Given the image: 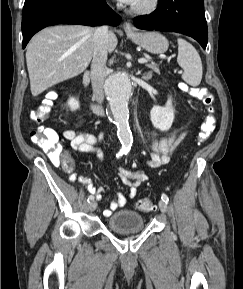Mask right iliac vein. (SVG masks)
Segmentation results:
<instances>
[{
	"instance_id": "obj_1",
	"label": "right iliac vein",
	"mask_w": 243,
	"mask_h": 289,
	"mask_svg": "<svg viewBox=\"0 0 243 289\" xmlns=\"http://www.w3.org/2000/svg\"><path fill=\"white\" fill-rule=\"evenodd\" d=\"M97 207V202L92 200L90 203H89V210L90 211H94Z\"/></svg>"
}]
</instances>
